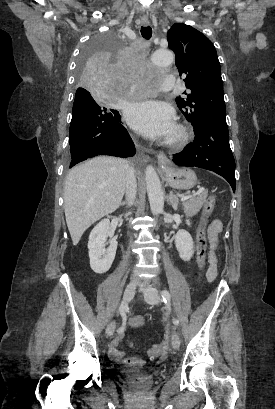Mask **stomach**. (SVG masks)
I'll return each instance as SVG.
<instances>
[{
    "label": "stomach",
    "instance_id": "stomach-1",
    "mask_svg": "<svg viewBox=\"0 0 275 409\" xmlns=\"http://www.w3.org/2000/svg\"><path fill=\"white\" fill-rule=\"evenodd\" d=\"M168 184L172 188H192L196 184L197 176L191 168H161Z\"/></svg>",
    "mask_w": 275,
    "mask_h": 409
}]
</instances>
